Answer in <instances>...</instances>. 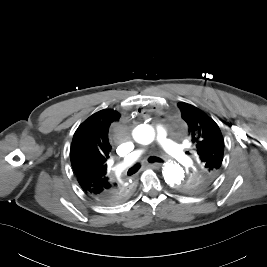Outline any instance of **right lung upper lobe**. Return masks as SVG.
I'll return each mask as SVG.
<instances>
[{
	"label": "right lung upper lobe",
	"instance_id": "cb5924a9",
	"mask_svg": "<svg viewBox=\"0 0 267 267\" xmlns=\"http://www.w3.org/2000/svg\"><path fill=\"white\" fill-rule=\"evenodd\" d=\"M119 118L114 110H101L85 120L73 136L71 165L81 188L89 196H98L121 185L110 179L106 163L112 148L108 140L109 126Z\"/></svg>",
	"mask_w": 267,
	"mask_h": 267
}]
</instances>
